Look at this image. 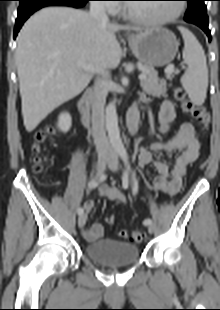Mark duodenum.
Masks as SVG:
<instances>
[{
  "label": "duodenum",
  "instance_id": "410a0bca",
  "mask_svg": "<svg viewBox=\"0 0 220 310\" xmlns=\"http://www.w3.org/2000/svg\"><path fill=\"white\" fill-rule=\"evenodd\" d=\"M94 96V91L92 89H88L82 95L78 108L81 113V120L84 126L90 127L93 124V117L91 113V102ZM138 126V113L136 111H130L128 122H127V130L131 136H134L137 132Z\"/></svg>",
  "mask_w": 220,
  "mask_h": 310
}]
</instances>
